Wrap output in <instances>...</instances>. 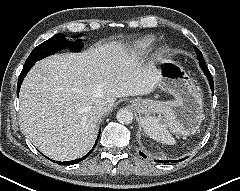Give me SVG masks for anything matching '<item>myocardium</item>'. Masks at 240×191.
Wrapping results in <instances>:
<instances>
[{
	"mask_svg": "<svg viewBox=\"0 0 240 191\" xmlns=\"http://www.w3.org/2000/svg\"><path fill=\"white\" fill-rule=\"evenodd\" d=\"M168 50H169V48H168V46H167L166 44H161V45H159V46L155 49V51H154V53H153V60H154L155 62L162 60L163 57H164V56L166 55V53L168 52Z\"/></svg>",
	"mask_w": 240,
	"mask_h": 191,
	"instance_id": "f54148a6",
	"label": "myocardium"
}]
</instances>
